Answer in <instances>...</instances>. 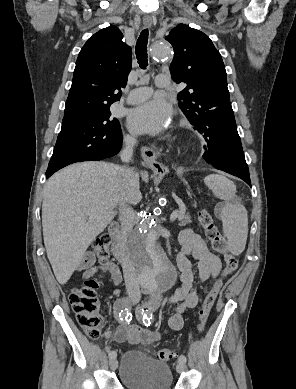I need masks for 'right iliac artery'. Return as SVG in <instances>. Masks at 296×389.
Masks as SVG:
<instances>
[{
  "instance_id": "obj_1",
  "label": "right iliac artery",
  "mask_w": 296,
  "mask_h": 389,
  "mask_svg": "<svg viewBox=\"0 0 296 389\" xmlns=\"http://www.w3.org/2000/svg\"><path fill=\"white\" fill-rule=\"evenodd\" d=\"M126 308H130L129 306V301L126 299V298H122L118 301L117 303V306H116V316L118 318V320L120 321H125V313H124V310ZM117 354L115 351H111L109 353V357L110 358H116Z\"/></svg>"
}]
</instances>
